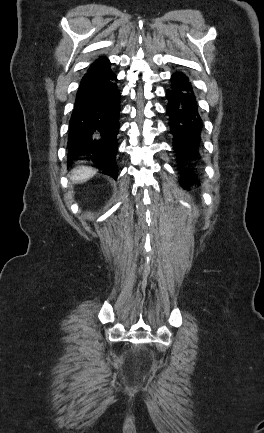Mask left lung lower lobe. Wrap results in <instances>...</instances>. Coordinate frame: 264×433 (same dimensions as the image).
I'll use <instances>...</instances> for the list:
<instances>
[{
	"label": "left lung lower lobe",
	"mask_w": 264,
	"mask_h": 433,
	"mask_svg": "<svg viewBox=\"0 0 264 433\" xmlns=\"http://www.w3.org/2000/svg\"><path fill=\"white\" fill-rule=\"evenodd\" d=\"M169 100L167 114L174 135L173 149L180 159L178 162L182 186L196 181L193 167L199 159L198 148L201 142L202 120L189 78L182 72L171 76V88L166 91Z\"/></svg>",
	"instance_id": "0a47b994"
}]
</instances>
